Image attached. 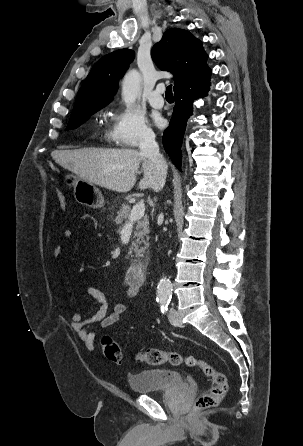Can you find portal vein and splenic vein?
I'll return each instance as SVG.
<instances>
[{
    "mask_svg": "<svg viewBox=\"0 0 303 446\" xmlns=\"http://www.w3.org/2000/svg\"><path fill=\"white\" fill-rule=\"evenodd\" d=\"M145 213V204L144 202H138L132 208L131 214L129 216V222H134L140 220Z\"/></svg>",
    "mask_w": 303,
    "mask_h": 446,
    "instance_id": "obj_1",
    "label": "portal vein and splenic vein"
}]
</instances>
